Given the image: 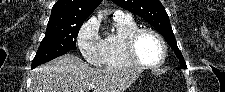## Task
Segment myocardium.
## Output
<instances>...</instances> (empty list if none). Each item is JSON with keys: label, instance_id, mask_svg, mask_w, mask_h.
Masks as SVG:
<instances>
[{"label": "myocardium", "instance_id": "myocardium-1", "mask_svg": "<svg viewBox=\"0 0 225 92\" xmlns=\"http://www.w3.org/2000/svg\"><path fill=\"white\" fill-rule=\"evenodd\" d=\"M145 33L153 35L159 41L162 47V57L160 61L157 62L156 64H147L143 62L138 55L137 43L139 38ZM126 51L130 60L136 67L145 68V69L159 68L165 63L167 58V45L163 37L157 31L151 28H146V27H138L137 29H135L129 34L126 41Z\"/></svg>", "mask_w": 225, "mask_h": 92}]
</instances>
